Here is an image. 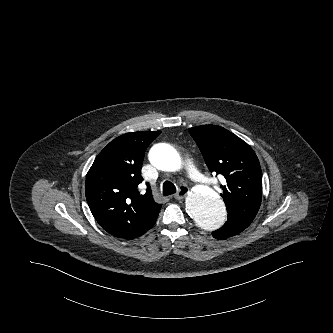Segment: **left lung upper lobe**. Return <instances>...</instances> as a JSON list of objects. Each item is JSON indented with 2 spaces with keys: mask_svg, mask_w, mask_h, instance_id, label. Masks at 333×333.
<instances>
[{
  "mask_svg": "<svg viewBox=\"0 0 333 333\" xmlns=\"http://www.w3.org/2000/svg\"><path fill=\"white\" fill-rule=\"evenodd\" d=\"M189 133L209 170L226 179L221 196L228 217L252 222L262 200V171L255 152L242 139L217 125L193 127Z\"/></svg>",
  "mask_w": 333,
  "mask_h": 333,
  "instance_id": "5c2ea615",
  "label": "left lung upper lobe"
}]
</instances>
